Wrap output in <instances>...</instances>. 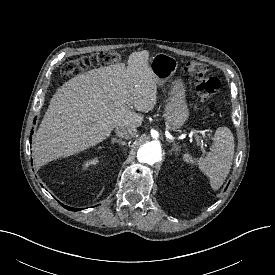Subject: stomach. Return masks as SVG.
<instances>
[{
	"label": "stomach",
	"mask_w": 275,
	"mask_h": 275,
	"mask_svg": "<svg viewBox=\"0 0 275 275\" xmlns=\"http://www.w3.org/2000/svg\"><path fill=\"white\" fill-rule=\"evenodd\" d=\"M177 67V60L165 53H157L150 60V68L160 86L171 80ZM164 117L169 128L173 131H178L189 117V110L185 101V87L181 79L172 82Z\"/></svg>",
	"instance_id": "1"
}]
</instances>
